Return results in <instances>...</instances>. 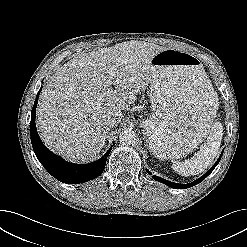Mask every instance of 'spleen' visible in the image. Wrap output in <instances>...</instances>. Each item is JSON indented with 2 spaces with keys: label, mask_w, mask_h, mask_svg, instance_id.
Segmentation results:
<instances>
[{
  "label": "spleen",
  "mask_w": 247,
  "mask_h": 247,
  "mask_svg": "<svg viewBox=\"0 0 247 247\" xmlns=\"http://www.w3.org/2000/svg\"><path fill=\"white\" fill-rule=\"evenodd\" d=\"M223 136V126L220 122L211 123L206 143L193 157L182 162H176L172 168L185 177L198 175L209 168L216 158Z\"/></svg>",
  "instance_id": "3e777b00"
}]
</instances>
